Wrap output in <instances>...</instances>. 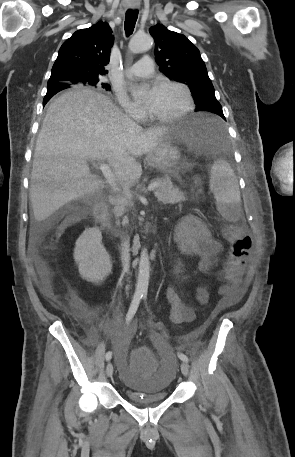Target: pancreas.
<instances>
[{
    "mask_svg": "<svg viewBox=\"0 0 295 457\" xmlns=\"http://www.w3.org/2000/svg\"><path fill=\"white\" fill-rule=\"evenodd\" d=\"M154 182L158 183L155 189L158 201L164 204H174L186 200L185 193L174 187L170 178L156 179ZM123 211L124 209L122 208L121 212Z\"/></svg>",
    "mask_w": 295,
    "mask_h": 457,
    "instance_id": "obj_1",
    "label": "pancreas"
}]
</instances>
